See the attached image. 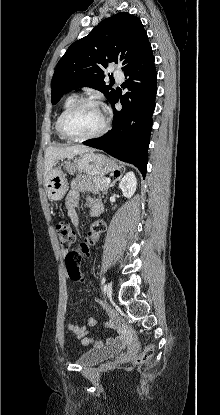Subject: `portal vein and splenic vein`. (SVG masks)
Returning <instances> with one entry per match:
<instances>
[{"instance_id": "obj_1", "label": "portal vein and splenic vein", "mask_w": 220, "mask_h": 415, "mask_svg": "<svg viewBox=\"0 0 220 415\" xmlns=\"http://www.w3.org/2000/svg\"><path fill=\"white\" fill-rule=\"evenodd\" d=\"M110 182H111L110 178L105 179V183H110Z\"/></svg>"}]
</instances>
